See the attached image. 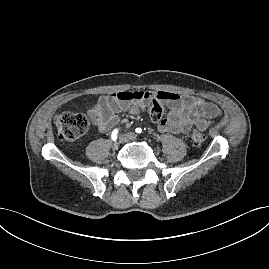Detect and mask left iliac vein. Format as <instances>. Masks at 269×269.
<instances>
[{
  "label": "left iliac vein",
  "instance_id": "4c4485c4",
  "mask_svg": "<svg viewBox=\"0 0 269 269\" xmlns=\"http://www.w3.org/2000/svg\"><path fill=\"white\" fill-rule=\"evenodd\" d=\"M125 136L128 140H131V141H135L137 139V135L133 132H129Z\"/></svg>",
  "mask_w": 269,
  "mask_h": 269
}]
</instances>
